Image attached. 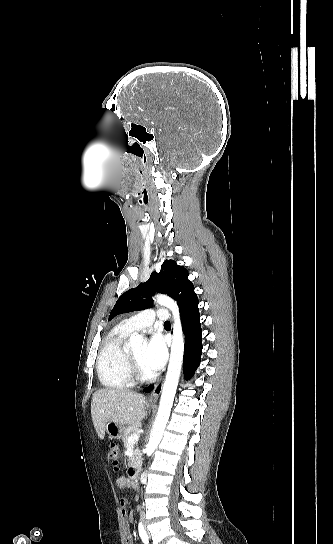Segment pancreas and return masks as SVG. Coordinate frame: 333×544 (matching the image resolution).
Segmentation results:
<instances>
[{
  "label": "pancreas",
  "instance_id": "1",
  "mask_svg": "<svg viewBox=\"0 0 333 544\" xmlns=\"http://www.w3.org/2000/svg\"><path fill=\"white\" fill-rule=\"evenodd\" d=\"M140 427V424L139 423H136L132 426H129L125 429L124 431V434L122 436V441L124 442V445L125 447L127 446L128 444V438L132 435V434H136L138 429ZM139 449L136 448L134 451H133V454L132 456L129 458L128 460V466L132 465V463L137 459V456L139 455Z\"/></svg>",
  "mask_w": 333,
  "mask_h": 544
}]
</instances>
